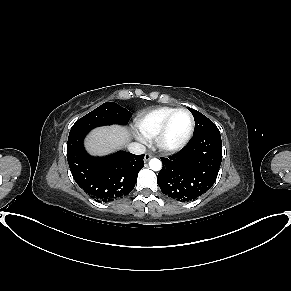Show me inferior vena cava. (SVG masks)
Returning a JSON list of instances; mask_svg holds the SVG:
<instances>
[{
	"mask_svg": "<svg viewBox=\"0 0 291 291\" xmlns=\"http://www.w3.org/2000/svg\"><path fill=\"white\" fill-rule=\"evenodd\" d=\"M128 150L133 154H143L146 152V147L140 143H131Z\"/></svg>",
	"mask_w": 291,
	"mask_h": 291,
	"instance_id": "1",
	"label": "inferior vena cava"
}]
</instances>
